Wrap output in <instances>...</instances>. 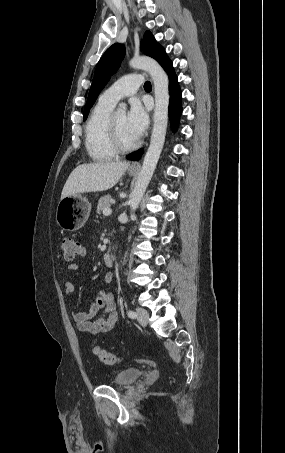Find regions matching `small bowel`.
Segmentation results:
<instances>
[{
	"mask_svg": "<svg viewBox=\"0 0 285 453\" xmlns=\"http://www.w3.org/2000/svg\"><path fill=\"white\" fill-rule=\"evenodd\" d=\"M86 250L80 249L79 257H84ZM71 271L79 268L77 263H71L68 267ZM113 280L112 273H106L104 276L105 283H111ZM63 287L67 296L73 299L75 296V286L70 281H64ZM72 318L80 332L98 335L111 331L117 321L116 304L113 295L108 291H100L88 311L72 310Z\"/></svg>",
	"mask_w": 285,
	"mask_h": 453,
	"instance_id": "c3829d8e",
	"label": "small bowel"
}]
</instances>
